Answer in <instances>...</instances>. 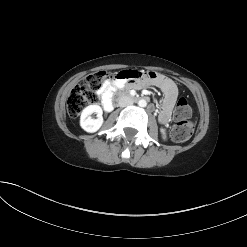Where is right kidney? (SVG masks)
Returning a JSON list of instances; mask_svg holds the SVG:
<instances>
[{
	"mask_svg": "<svg viewBox=\"0 0 247 247\" xmlns=\"http://www.w3.org/2000/svg\"><path fill=\"white\" fill-rule=\"evenodd\" d=\"M92 113L97 114V118L93 119L90 115ZM103 111L102 108L99 105H89L85 109H83L80 117V126L82 129H84L86 132L94 133L103 124V117H102Z\"/></svg>",
	"mask_w": 247,
	"mask_h": 247,
	"instance_id": "ca27d5eb",
	"label": "right kidney"
}]
</instances>
